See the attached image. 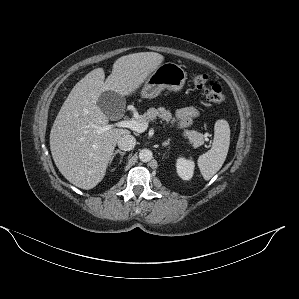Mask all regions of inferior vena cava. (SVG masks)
Masks as SVG:
<instances>
[{
	"instance_id": "602c4592",
	"label": "inferior vena cava",
	"mask_w": 299,
	"mask_h": 299,
	"mask_svg": "<svg viewBox=\"0 0 299 299\" xmlns=\"http://www.w3.org/2000/svg\"><path fill=\"white\" fill-rule=\"evenodd\" d=\"M118 147L123 151H130L135 147L136 139L131 134H124L117 141Z\"/></svg>"
}]
</instances>
